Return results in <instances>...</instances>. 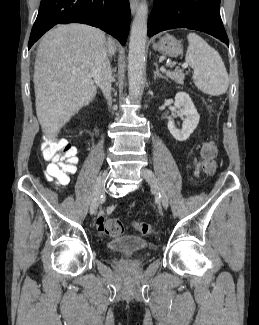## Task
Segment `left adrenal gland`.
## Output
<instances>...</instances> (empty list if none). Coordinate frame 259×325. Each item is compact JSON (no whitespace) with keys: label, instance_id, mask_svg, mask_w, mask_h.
Wrapping results in <instances>:
<instances>
[{"label":"left adrenal gland","instance_id":"left-adrenal-gland-1","mask_svg":"<svg viewBox=\"0 0 259 325\" xmlns=\"http://www.w3.org/2000/svg\"><path fill=\"white\" fill-rule=\"evenodd\" d=\"M154 65H155V68H156V70H155V72H154V80H156L157 78L166 79L165 76H163V75H161V74L159 73V66H158V64L155 63Z\"/></svg>","mask_w":259,"mask_h":325}]
</instances>
